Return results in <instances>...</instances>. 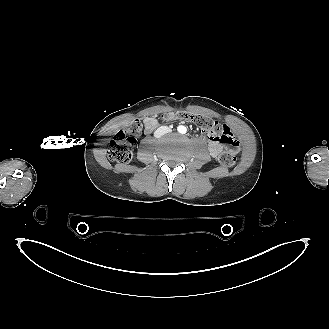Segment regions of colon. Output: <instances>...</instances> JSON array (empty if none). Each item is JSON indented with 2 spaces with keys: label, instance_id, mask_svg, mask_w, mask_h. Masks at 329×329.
<instances>
[{
  "label": "colon",
  "instance_id": "5ec220e1",
  "mask_svg": "<svg viewBox=\"0 0 329 329\" xmlns=\"http://www.w3.org/2000/svg\"><path fill=\"white\" fill-rule=\"evenodd\" d=\"M159 119L165 122L174 119L187 120L202 131L217 135V139L225 146V150L218 157L220 163L226 167H233L236 164V151L238 142L232 135L226 132L225 126L218 121L203 115L190 112L163 113ZM143 125L139 120H133L123 130L119 131L109 143V157L116 162L125 163L132 157V149L138 137L141 136Z\"/></svg>",
  "mask_w": 329,
  "mask_h": 329
}]
</instances>
